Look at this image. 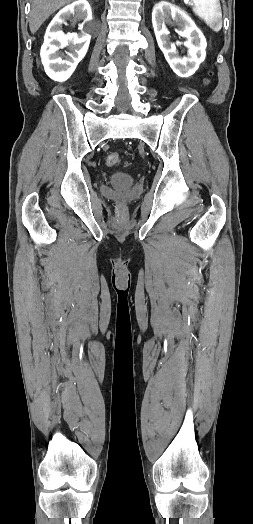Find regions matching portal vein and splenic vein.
<instances>
[{"label": "portal vein and splenic vein", "mask_w": 253, "mask_h": 524, "mask_svg": "<svg viewBox=\"0 0 253 524\" xmlns=\"http://www.w3.org/2000/svg\"><path fill=\"white\" fill-rule=\"evenodd\" d=\"M189 0H185V3H188Z\"/></svg>", "instance_id": "18ae733b"}]
</instances>
